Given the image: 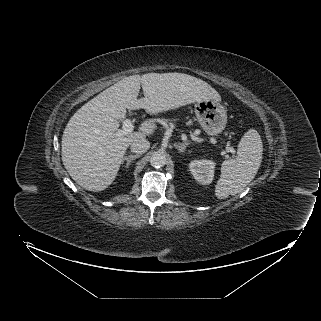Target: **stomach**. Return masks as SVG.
Instances as JSON below:
<instances>
[{"mask_svg": "<svg viewBox=\"0 0 321 321\" xmlns=\"http://www.w3.org/2000/svg\"><path fill=\"white\" fill-rule=\"evenodd\" d=\"M195 114L202 129L210 136L220 134L226 126L227 110L215 99L197 102Z\"/></svg>", "mask_w": 321, "mask_h": 321, "instance_id": "0dacf381", "label": "stomach"}]
</instances>
